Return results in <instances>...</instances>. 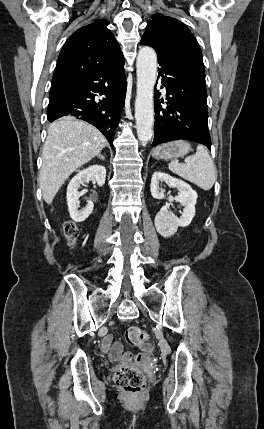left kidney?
<instances>
[{
  "instance_id": "obj_1",
  "label": "left kidney",
  "mask_w": 264,
  "mask_h": 429,
  "mask_svg": "<svg viewBox=\"0 0 264 429\" xmlns=\"http://www.w3.org/2000/svg\"><path fill=\"white\" fill-rule=\"evenodd\" d=\"M160 181H164L169 186L177 188L179 194L176 197L169 196L168 200L179 202L184 206L182 215L178 218L168 209V206H163L155 216L154 224L157 232L164 238L174 235L178 227L188 226L195 215V204L197 200V193L186 182L174 178L164 172H154L151 179V194L155 199H164L165 195L159 188Z\"/></svg>"
}]
</instances>
